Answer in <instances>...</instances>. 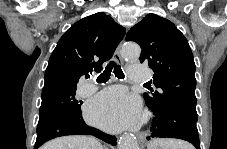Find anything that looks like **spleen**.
I'll return each mask as SVG.
<instances>
[{"label": "spleen", "mask_w": 227, "mask_h": 149, "mask_svg": "<svg viewBox=\"0 0 227 149\" xmlns=\"http://www.w3.org/2000/svg\"><path fill=\"white\" fill-rule=\"evenodd\" d=\"M148 149H192L191 145L184 141L174 139H153Z\"/></svg>", "instance_id": "1"}]
</instances>
